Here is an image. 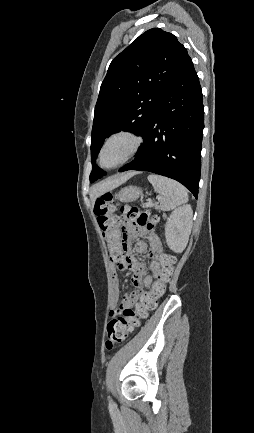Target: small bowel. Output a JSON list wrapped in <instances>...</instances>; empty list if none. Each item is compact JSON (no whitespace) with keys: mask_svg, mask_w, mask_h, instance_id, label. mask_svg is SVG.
I'll return each mask as SVG.
<instances>
[{"mask_svg":"<svg viewBox=\"0 0 254 433\" xmlns=\"http://www.w3.org/2000/svg\"><path fill=\"white\" fill-rule=\"evenodd\" d=\"M125 226L128 229V239L130 240L139 234L148 233L149 243L147 244V242L144 240H138L135 244V249L138 253H144L147 248H149V254L151 257L149 265L150 274L145 275L146 268L144 264H142L133 256L130 248L128 247L126 254L121 259L113 260L118 270L125 271L129 269L133 272L131 283L135 287V290L131 294L124 295L121 303L119 304V283L116 278L113 280L112 288L114 301L111 308V315H114L124 305L131 306L136 304L138 299L143 295L142 291L144 289L153 287L154 279H156L160 270L159 259L162 255V243L160 237L154 231H146L140 227H132L127 223Z\"/></svg>","mask_w":254,"mask_h":433,"instance_id":"small-bowel-1","label":"small bowel"}]
</instances>
